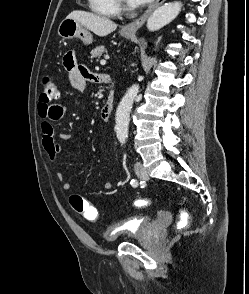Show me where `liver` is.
<instances>
[{"label":"liver","instance_id":"6515ba94","mask_svg":"<svg viewBox=\"0 0 249 294\" xmlns=\"http://www.w3.org/2000/svg\"><path fill=\"white\" fill-rule=\"evenodd\" d=\"M67 18L78 21L86 29L100 37L109 35L117 28V24L107 17L86 11H73L67 16Z\"/></svg>","mask_w":249,"mask_h":294}]
</instances>
